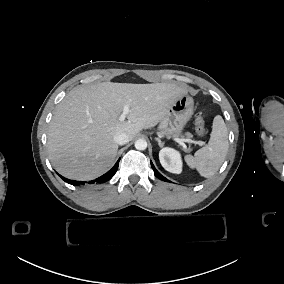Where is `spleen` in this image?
Returning a JSON list of instances; mask_svg holds the SVG:
<instances>
[{
    "label": "spleen",
    "instance_id": "obj_1",
    "mask_svg": "<svg viewBox=\"0 0 284 284\" xmlns=\"http://www.w3.org/2000/svg\"><path fill=\"white\" fill-rule=\"evenodd\" d=\"M229 148L228 130L221 115L213 119L208 142L193 155H185L184 161L190 169H196L201 177L213 176L223 164Z\"/></svg>",
    "mask_w": 284,
    "mask_h": 284
}]
</instances>
